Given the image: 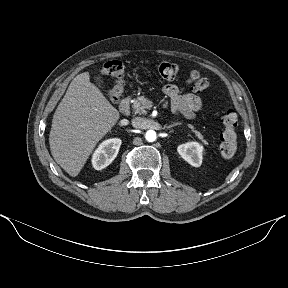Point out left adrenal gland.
<instances>
[{
  "instance_id": "left-adrenal-gland-1",
  "label": "left adrenal gland",
  "mask_w": 288,
  "mask_h": 288,
  "mask_svg": "<svg viewBox=\"0 0 288 288\" xmlns=\"http://www.w3.org/2000/svg\"><path fill=\"white\" fill-rule=\"evenodd\" d=\"M177 125H181V123H180V122H176V123H173V124H170V125H166L165 127H166L167 129H170V128H172V127H174V126H177Z\"/></svg>"
}]
</instances>
